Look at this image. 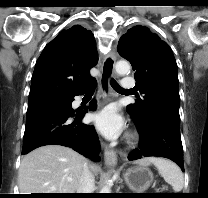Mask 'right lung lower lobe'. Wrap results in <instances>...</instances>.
I'll return each instance as SVG.
<instances>
[{
	"mask_svg": "<svg viewBox=\"0 0 208 198\" xmlns=\"http://www.w3.org/2000/svg\"><path fill=\"white\" fill-rule=\"evenodd\" d=\"M86 89L87 87L77 95L84 94ZM73 100L74 97L64 103L39 104L28 108L22 155L40 146L57 144L71 147L93 160L100 159V144L94 127L81 123L88 109L73 110ZM95 108L96 102L93 100L89 110Z\"/></svg>",
	"mask_w": 208,
	"mask_h": 198,
	"instance_id": "obj_1",
	"label": "right lung lower lobe"
}]
</instances>
